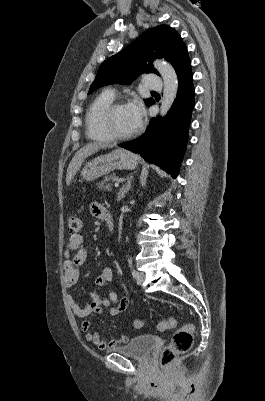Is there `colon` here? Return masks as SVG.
Segmentation results:
<instances>
[{
    "label": "colon",
    "mask_w": 265,
    "mask_h": 401,
    "mask_svg": "<svg viewBox=\"0 0 265 401\" xmlns=\"http://www.w3.org/2000/svg\"><path fill=\"white\" fill-rule=\"evenodd\" d=\"M81 219L77 215H70L67 219V231L70 235H76L81 229ZM125 308V306H123ZM177 320L173 317L162 320L158 323L159 331H167L175 328ZM134 327L140 329L143 327V321L136 319ZM195 327L193 324H186L175 331L169 344L162 350L160 363L163 369L168 370L174 363L175 359L188 352L193 344Z\"/></svg>",
    "instance_id": "1"
}]
</instances>
